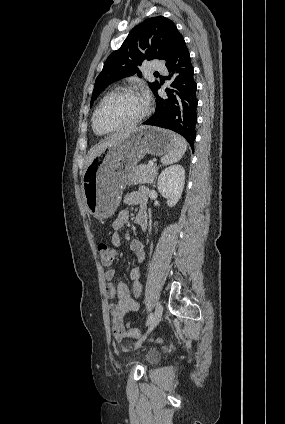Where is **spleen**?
I'll return each instance as SVG.
<instances>
[{
  "instance_id": "1",
  "label": "spleen",
  "mask_w": 285,
  "mask_h": 424,
  "mask_svg": "<svg viewBox=\"0 0 285 424\" xmlns=\"http://www.w3.org/2000/svg\"><path fill=\"white\" fill-rule=\"evenodd\" d=\"M174 143L168 154L162 157L161 162L169 165L179 161L187 150V142L180 135L174 134Z\"/></svg>"
}]
</instances>
